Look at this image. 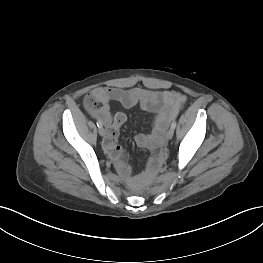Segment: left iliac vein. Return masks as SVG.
Here are the masks:
<instances>
[{"label": "left iliac vein", "instance_id": "obj_1", "mask_svg": "<svg viewBox=\"0 0 263 263\" xmlns=\"http://www.w3.org/2000/svg\"><path fill=\"white\" fill-rule=\"evenodd\" d=\"M174 135V129L173 128H170L168 131H167V138L168 139H171Z\"/></svg>", "mask_w": 263, "mask_h": 263}]
</instances>
